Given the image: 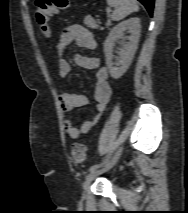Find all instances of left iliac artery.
I'll list each match as a JSON object with an SVG mask.
<instances>
[{"label":"left iliac artery","mask_w":188,"mask_h":213,"mask_svg":"<svg viewBox=\"0 0 188 213\" xmlns=\"http://www.w3.org/2000/svg\"><path fill=\"white\" fill-rule=\"evenodd\" d=\"M106 161H108V159H107ZM103 163H104V162H103ZM103 163L95 164V165L91 166L90 169H89V171H90V172L95 171V170H96L97 168H99Z\"/></svg>","instance_id":"obj_1"}]
</instances>
